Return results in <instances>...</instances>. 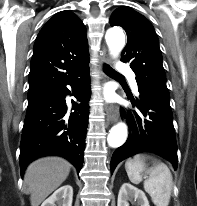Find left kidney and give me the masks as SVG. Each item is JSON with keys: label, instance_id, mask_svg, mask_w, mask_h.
Listing matches in <instances>:
<instances>
[{"label": "left kidney", "instance_id": "1", "mask_svg": "<svg viewBox=\"0 0 197 206\" xmlns=\"http://www.w3.org/2000/svg\"><path fill=\"white\" fill-rule=\"evenodd\" d=\"M134 199L139 206H150L145 193L131 185L124 183L118 194L117 206H129L128 200Z\"/></svg>", "mask_w": 197, "mask_h": 206}]
</instances>
